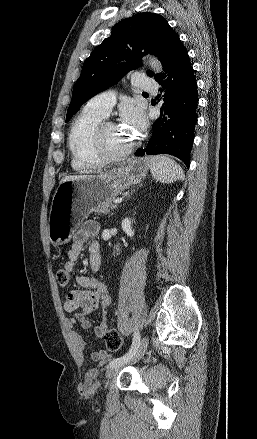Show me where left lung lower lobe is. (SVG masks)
I'll list each match as a JSON object with an SVG mask.
<instances>
[{
  "label": "left lung lower lobe",
  "mask_w": 257,
  "mask_h": 439,
  "mask_svg": "<svg viewBox=\"0 0 257 439\" xmlns=\"http://www.w3.org/2000/svg\"><path fill=\"white\" fill-rule=\"evenodd\" d=\"M165 74L155 80L161 85L164 104L161 116L153 123V135L145 149H138L136 156L170 154L190 165V153L197 123V82L188 54L178 38L164 67ZM170 116V120L163 117ZM165 122L159 130L160 123Z\"/></svg>",
  "instance_id": "1"
}]
</instances>
